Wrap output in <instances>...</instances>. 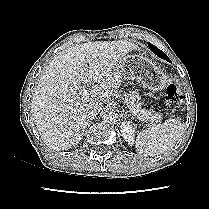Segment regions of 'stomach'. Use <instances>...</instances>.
I'll return each instance as SVG.
<instances>
[{
  "instance_id": "0dacf381",
  "label": "stomach",
  "mask_w": 209,
  "mask_h": 209,
  "mask_svg": "<svg viewBox=\"0 0 209 209\" xmlns=\"http://www.w3.org/2000/svg\"><path fill=\"white\" fill-rule=\"evenodd\" d=\"M119 73L126 80H138L144 88L159 92L166 87L168 77L154 62L142 55H126L119 62Z\"/></svg>"
}]
</instances>
